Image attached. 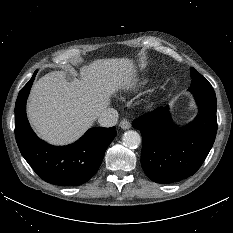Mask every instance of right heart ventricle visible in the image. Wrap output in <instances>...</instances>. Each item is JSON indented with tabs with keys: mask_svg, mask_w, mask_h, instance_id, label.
<instances>
[{
	"mask_svg": "<svg viewBox=\"0 0 233 233\" xmlns=\"http://www.w3.org/2000/svg\"><path fill=\"white\" fill-rule=\"evenodd\" d=\"M149 83V80L145 77L137 78L130 83L131 88H140L144 87Z\"/></svg>",
	"mask_w": 233,
	"mask_h": 233,
	"instance_id": "1",
	"label": "right heart ventricle"
}]
</instances>
